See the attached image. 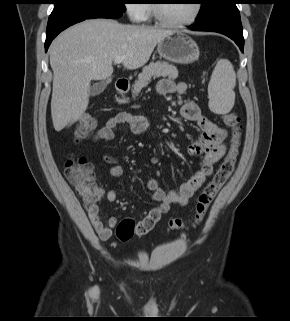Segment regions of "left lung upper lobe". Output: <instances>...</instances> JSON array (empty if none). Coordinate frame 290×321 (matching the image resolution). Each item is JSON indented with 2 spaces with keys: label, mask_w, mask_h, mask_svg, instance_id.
Here are the masks:
<instances>
[{
  "label": "left lung upper lobe",
  "mask_w": 290,
  "mask_h": 321,
  "mask_svg": "<svg viewBox=\"0 0 290 321\" xmlns=\"http://www.w3.org/2000/svg\"><path fill=\"white\" fill-rule=\"evenodd\" d=\"M235 1L238 0H200L201 9L196 21H202L214 16Z\"/></svg>",
  "instance_id": "5c2ea615"
}]
</instances>
